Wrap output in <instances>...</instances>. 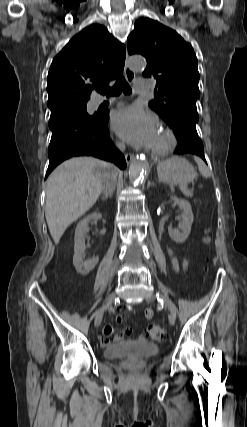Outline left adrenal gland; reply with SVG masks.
I'll return each instance as SVG.
<instances>
[{
    "instance_id": "a2214340",
    "label": "left adrenal gland",
    "mask_w": 247,
    "mask_h": 427,
    "mask_svg": "<svg viewBox=\"0 0 247 427\" xmlns=\"http://www.w3.org/2000/svg\"><path fill=\"white\" fill-rule=\"evenodd\" d=\"M152 185H154L153 183H149V186H152Z\"/></svg>"
}]
</instances>
